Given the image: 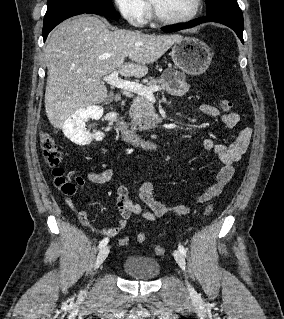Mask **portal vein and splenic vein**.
I'll return each mask as SVG.
<instances>
[{"label":"portal vein and splenic vein","instance_id":"18ae733b","mask_svg":"<svg viewBox=\"0 0 284 319\" xmlns=\"http://www.w3.org/2000/svg\"><path fill=\"white\" fill-rule=\"evenodd\" d=\"M103 81L113 87L137 93L138 95L144 96L150 101H155L153 93L161 90V88L158 86L148 87L139 83L123 80L119 78L118 72L116 70H114L110 75L104 76Z\"/></svg>","mask_w":284,"mask_h":319}]
</instances>
